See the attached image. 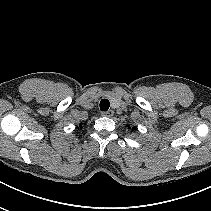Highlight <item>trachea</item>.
Wrapping results in <instances>:
<instances>
[{"instance_id":"obj_1","label":"trachea","mask_w":211,"mask_h":211,"mask_svg":"<svg viewBox=\"0 0 211 211\" xmlns=\"http://www.w3.org/2000/svg\"><path fill=\"white\" fill-rule=\"evenodd\" d=\"M109 107H110V102H109V100H107V99H102V100L100 101V110H101V111H108Z\"/></svg>"}]
</instances>
